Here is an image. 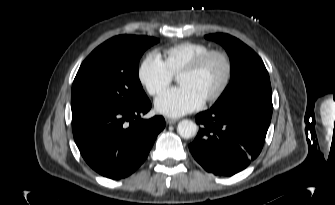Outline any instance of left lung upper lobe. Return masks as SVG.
Wrapping results in <instances>:
<instances>
[{
	"instance_id": "obj_1",
	"label": "left lung upper lobe",
	"mask_w": 335,
	"mask_h": 205,
	"mask_svg": "<svg viewBox=\"0 0 335 205\" xmlns=\"http://www.w3.org/2000/svg\"><path fill=\"white\" fill-rule=\"evenodd\" d=\"M221 44L231 63L230 83L212 107L252 102L272 108L269 74L261 58L246 44L224 33L205 36Z\"/></svg>"
}]
</instances>
